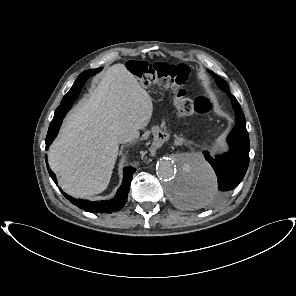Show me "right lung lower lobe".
<instances>
[{
  "label": "right lung lower lobe",
  "instance_id": "1",
  "mask_svg": "<svg viewBox=\"0 0 296 296\" xmlns=\"http://www.w3.org/2000/svg\"><path fill=\"white\" fill-rule=\"evenodd\" d=\"M96 72L94 70H87L81 73L78 78L76 79L74 85L70 89V91L66 94L69 97V101L66 103L60 104V106L56 109L54 113V118L49 126V130L46 136V149H48L49 145L52 143L54 138L56 137L62 120L68 110L71 108V101L75 100L78 94L81 91V88L87 78L89 76L95 75ZM46 164L49 171V174L53 181L57 184V180L55 174L51 171L48 167L47 157H46ZM136 171L131 166H128L124 169V177L123 182L120 188L118 189L116 195L111 200H101L96 202L85 201L81 199H75L65 193L63 195L74 205L78 206L79 208L92 213H112L115 211L120 210L127 201V196L130 188V183L132 180L133 173Z\"/></svg>",
  "mask_w": 296,
  "mask_h": 296
}]
</instances>
